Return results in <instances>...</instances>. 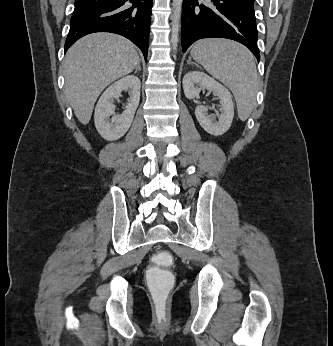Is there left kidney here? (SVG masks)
Segmentation results:
<instances>
[{"instance_id": "1", "label": "left kidney", "mask_w": 333, "mask_h": 346, "mask_svg": "<svg viewBox=\"0 0 333 346\" xmlns=\"http://www.w3.org/2000/svg\"><path fill=\"white\" fill-rule=\"evenodd\" d=\"M184 94L188 99H194L201 89L212 91L220 99L219 120L207 114V108L198 105L195 115L202 128L209 134L220 136L231 126L234 117V104L230 92L221 83L200 71L188 72L183 78Z\"/></svg>"}]
</instances>
